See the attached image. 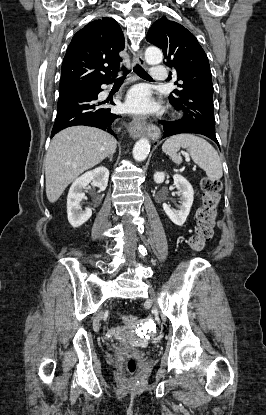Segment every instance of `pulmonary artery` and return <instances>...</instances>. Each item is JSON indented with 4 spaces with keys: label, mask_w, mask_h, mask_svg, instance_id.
<instances>
[{
    "label": "pulmonary artery",
    "mask_w": 266,
    "mask_h": 415,
    "mask_svg": "<svg viewBox=\"0 0 266 415\" xmlns=\"http://www.w3.org/2000/svg\"><path fill=\"white\" fill-rule=\"evenodd\" d=\"M151 77L154 80L162 81L167 78V71L163 65H155L151 69Z\"/></svg>",
    "instance_id": "1"
}]
</instances>
